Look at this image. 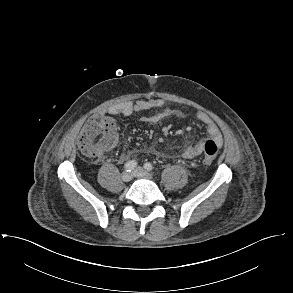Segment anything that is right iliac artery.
<instances>
[{
	"label": "right iliac artery",
	"instance_id": "right-iliac-artery-1",
	"mask_svg": "<svg viewBox=\"0 0 293 293\" xmlns=\"http://www.w3.org/2000/svg\"><path fill=\"white\" fill-rule=\"evenodd\" d=\"M137 166V162L135 160H130L125 163L124 168L127 172H131Z\"/></svg>",
	"mask_w": 293,
	"mask_h": 293
}]
</instances>
